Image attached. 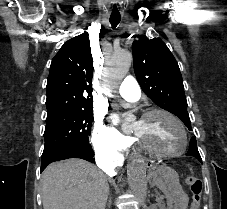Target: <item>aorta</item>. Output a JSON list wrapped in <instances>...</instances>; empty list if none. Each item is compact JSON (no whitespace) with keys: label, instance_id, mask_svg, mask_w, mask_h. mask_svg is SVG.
<instances>
[{"label":"aorta","instance_id":"1","mask_svg":"<svg viewBox=\"0 0 227 209\" xmlns=\"http://www.w3.org/2000/svg\"><path fill=\"white\" fill-rule=\"evenodd\" d=\"M132 63V54L127 50L115 52L106 61L103 69V88L112 92L119 82L126 76ZM147 165L144 160L134 155L127 164V177L129 186L136 199L144 204L147 196Z\"/></svg>","mask_w":227,"mask_h":209}]
</instances>
